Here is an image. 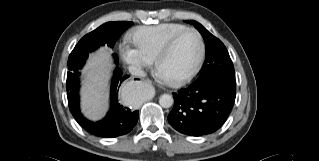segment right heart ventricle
Listing matches in <instances>:
<instances>
[{"label":"right heart ventricle","mask_w":319,"mask_h":161,"mask_svg":"<svg viewBox=\"0 0 319 161\" xmlns=\"http://www.w3.org/2000/svg\"><path fill=\"white\" fill-rule=\"evenodd\" d=\"M186 28L188 27L179 23L139 27L132 32L131 40L144 58L153 61L167 40Z\"/></svg>","instance_id":"right-heart-ventricle-1"}]
</instances>
